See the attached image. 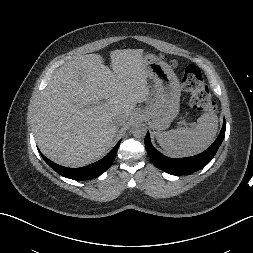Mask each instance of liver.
I'll list each match as a JSON object with an SVG mask.
<instances>
[{"label": "liver", "instance_id": "liver-1", "mask_svg": "<svg viewBox=\"0 0 253 253\" xmlns=\"http://www.w3.org/2000/svg\"><path fill=\"white\" fill-rule=\"evenodd\" d=\"M110 57L112 71L97 54L65 63L38 96L33 130L53 162L81 167L97 161L118 131L113 119L123 116L124 124L137 103L149 100L143 50H114Z\"/></svg>", "mask_w": 253, "mask_h": 253}]
</instances>
